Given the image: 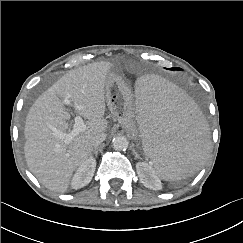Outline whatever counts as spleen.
Segmentation results:
<instances>
[{
  "label": "spleen",
  "mask_w": 243,
  "mask_h": 243,
  "mask_svg": "<svg viewBox=\"0 0 243 243\" xmlns=\"http://www.w3.org/2000/svg\"><path fill=\"white\" fill-rule=\"evenodd\" d=\"M133 101L141 159L165 181L197 171L209 132L189 95L147 72L135 82Z\"/></svg>",
  "instance_id": "3e777b00"
}]
</instances>
